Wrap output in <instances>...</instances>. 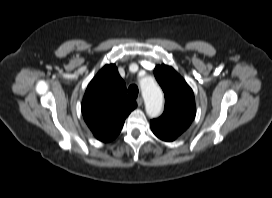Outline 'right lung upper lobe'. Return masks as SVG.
Here are the masks:
<instances>
[{"label":"right lung upper lobe","instance_id":"right-lung-upper-lobe-1","mask_svg":"<svg viewBox=\"0 0 272 198\" xmlns=\"http://www.w3.org/2000/svg\"><path fill=\"white\" fill-rule=\"evenodd\" d=\"M137 103L126 94V85L114 64L105 65L89 83L82 114L94 136L102 141L113 140L121 131L126 117Z\"/></svg>","mask_w":272,"mask_h":198}]
</instances>
